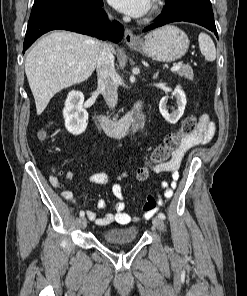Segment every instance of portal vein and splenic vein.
<instances>
[{
	"label": "portal vein and splenic vein",
	"instance_id": "portal-vein-and-splenic-vein-1",
	"mask_svg": "<svg viewBox=\"0 0 247 296\" xmlns=\"http://www.w3.org/2000/svg\"><path fill=\"white\" fill-rule=\"evenodd\" d=\"M180 67H181V64L177 63L171 67V71H177L180 69Z\"/></svg>",
	"mask_w": 247,
	"mask_h": 296
}]
</instances>
